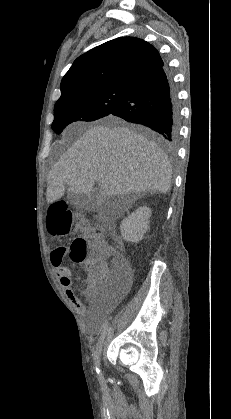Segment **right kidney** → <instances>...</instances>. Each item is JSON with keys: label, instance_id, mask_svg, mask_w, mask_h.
Returning <instances> with one entry per match:
<instances>
[{"label": "right kidney", "instance_id": "obj_1", "mask_svg": "<svg viewBox=\"0 0 231 419\" xmlns=\"http://www.w3.org/2000/svg\"><path fill=\"white\" fill-rule=\"evenodd\" d=\"M151 209L146 206L139 207L135 212L123 219L120 224L121 235L124 240L139 242L149 228Z\"/></svg>", "mask_w": 231, "mask_h": 419}]
</instances>
